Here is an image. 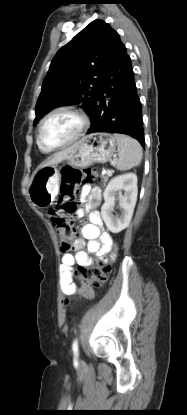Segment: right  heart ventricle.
Listing matches in <instances>:
<instances>
[{
  "instance_id": "obj_1",
  "label": "right heart ventricle",
  "mask_w": 187,
  "mask_h": 415,
  "mask_svg": "<svg viewBox=\"0 0 187 415\" xmlns=\"http://www.w3.org/2000/svg\"><path fill=\"white\" fill-rule=\"evenodd\" d=\"M40 148H41V150L46 151V150H44L42 147H40Z\"/></svg>"
}]
</instances>
